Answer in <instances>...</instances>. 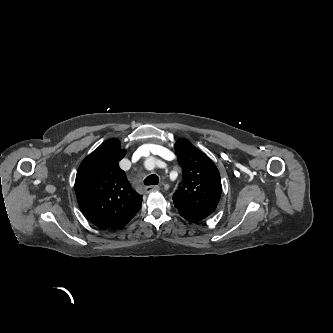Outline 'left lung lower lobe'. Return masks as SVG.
<instances>
[{
    "mask_svg": "<svg viewBox=\"0 0 333 333\" xmlns=\"http://www.w3.org/2000/svg\"><path fill=\"white\" fill-rule=\"evenodd\" d=\"M179 213H180V215L183 217V218H185L187 221H189V222H199V221H201L202 219H204V218H202V217H199V216H194V215H191V214H186V213H183V212H180V211H178Z\"/></svg>",
    "mask_w": 333,
    "mask_h": 333,
    "instance_id": "obj_1",
    "label": "left lung lower lobe"
}]
</instances>
